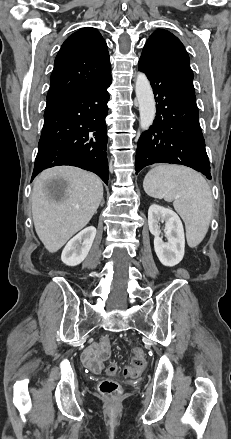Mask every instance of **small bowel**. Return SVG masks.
<instances>
[{"instance_id": "c3829d8e", "label": "small bowel", "mask_w": 231, "mask_h": 439, "mask_svg": "<svg viewBox=\"0 0 231 439\" xmlns=\"http://www.w3.org/2000/svg\"><path fill=\"white\" fill-rule=\"evenodd\" d=\"M99 343L89 345L81 354L82 363L92 372H99L102 367V359L99 357Z\"/></svg>"}]
</instances>
